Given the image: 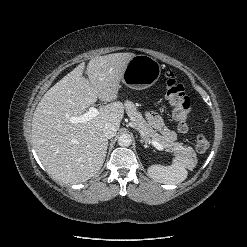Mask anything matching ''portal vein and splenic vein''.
<instances>
[{
  "mask_svg": "<svg viewBox=\"0 0 247 247\" xmlns=\"http://www.w3.org/2000/svg\"><path fill=\"white\" fill-rule=\"evenodd\" d=\"M98 114H99V111L97 108L90 107L89 110L85 112L84 114L70 118V122L71 123H87L89 120L96 117ZM151 143L155 148L159 150H163V146L159 144L158 142L151 141Z\"/></svg>",
  "mask_w": 247,
  "mask_h": 247,
  "instance_id": "portal-vein-and-splenic-vein-1",
  "label": "portal vein and splenic vein"
}]
</instances>
